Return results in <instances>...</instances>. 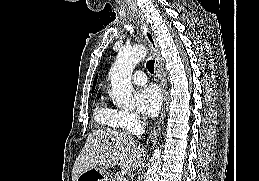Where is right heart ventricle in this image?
Returning <instances> with one entry per match:
<instances>
[{"mask_svg":"<svg viewBox=\"0 0 259 181\" xmlns=\"http://www.w3.org/2000/svg\"><path fill=\"white\" fill-rule=\"evenodd\" d=\"M96 124L104 129L121 131L124 125L121 119V111L108 105L101 99L94 110Z\"/></svg>","mask_w":259,"mask_h":181,"instance_id":"1","label":"right heart ventricle"}]
</instances>
